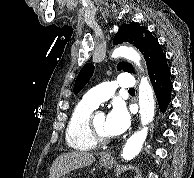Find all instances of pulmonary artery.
<instances>
[{"mask_svg":"<svg viewBox=\"0 0 194 178\" xmlns=\"http://www.w3.org/2000/svg\"><path fill=\"white\" fill-rule=\"evenodd\" d=\"M135 87V80L129 73L118 76L116 80L105 81L91 90L83 97V100L98 106L102 102L111 98L117 88L131 89Z\"/></svg>","mask_w":194,"mask_h":178,"instance_id":"obj_1","label":"pulmonary artery"}]
</instances>
